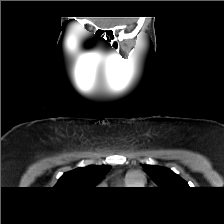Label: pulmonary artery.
Segmentation results:
<instances>
[{
    "instance_id": "e3ab8cb5",
    "label": "pulmonary artery",
    "mask_w": 224,
    "mask_h": 224,
    "mask_svg": "<svg viewBox=\"0 0 224 224\" xmlns=\"http://www.w3.org/2000/svg\"><path fill=\"white\" fill-rule=\"evenodd\" d=\"M133 178L138 182L142 181L141 175H139V174L134 175Z\"/></svg>"
}]
</instances>
